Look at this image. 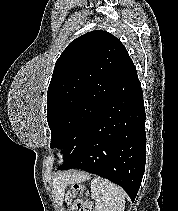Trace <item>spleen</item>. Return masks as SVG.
Returning <instances> with one entry per match:
<instances>
[{"label": "spleen", "mask_w": 178, "mask_h": 211, "mask_svg": "<svg viewBox=\"0 0 178 211\" xmlns=\"http://www.w3.org/2000/svg\"><path fill=\"white\" fill-rule=\"evenodd\" d=\"M90 188L97 211H124L125 193L119 186L96 176L91 180Z\"/></svg>", "instance_id": "spleen-1"}]
</instances>
